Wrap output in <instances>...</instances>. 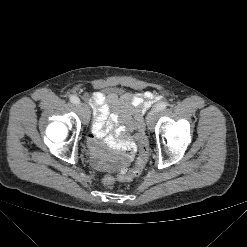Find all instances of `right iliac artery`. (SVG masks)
Wrapping results in <instances>:
<instances>
[{"label": "right iliac artery", "instance_id": "1", "mask_svg": "<svg viewBox=\"0 0 247 247\" xmlns=\"http://www.w3.org/2000/svg\"><path fill=\"white\" fill-rule=\"evenodd\" d=\"M69 100L74 103V104H79L80 103V99L77 96H70Z\"/></svg>", "mask_w": 247, "mask_h": 247}]
</instances>
